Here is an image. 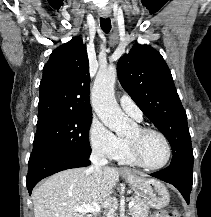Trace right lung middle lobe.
I'll list each match as a JSON object with an SVG mask.
<instances>
[{"instance_id": "dd1d6c3e", "label": "right lung middle lobe", "mask_w": 211, "mask_h": 217, "mask_svg": "<svg viewBox=\"0 0 211 217\" xmlns=\"http://www.w3.org/2000/svg\"><path fill=\"white\" fill-rule=\"evenodd\" d=\"M92 114L58 113L38 118L33 151L54 149L90 156Z\"/></svg>"}]
</instances>
